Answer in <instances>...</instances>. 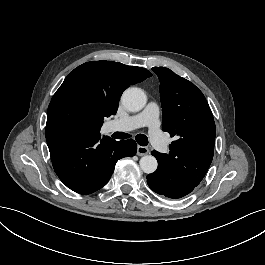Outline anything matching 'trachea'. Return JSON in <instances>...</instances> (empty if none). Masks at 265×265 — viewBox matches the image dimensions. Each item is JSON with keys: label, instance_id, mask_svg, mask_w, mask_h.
I'll use <instances>...</instances> for the list:
<instances>
[{"label": "trachea", "instance_id": "obj_1", "mask_svg": "<svg viewBox=\"0 0 265 265\" xmlns=\"http://www.w3.org/2000/svg\"><path fill=\"white\" fill-rule=\"evenodd\" d=\"M129 137H130L129 134H125L124 133V137H123L124 139L129 138ZM135 139H136L137 143L139 145H141V146H146L148 144V138L144 134H138V135H136Z\"/></svg>", "mask_w": 265, "mask_h": 265}]
</instances>
